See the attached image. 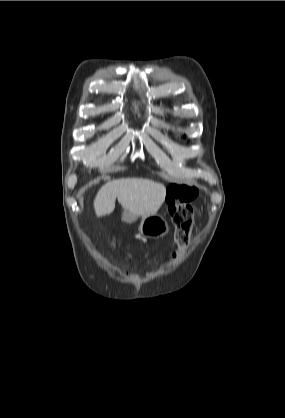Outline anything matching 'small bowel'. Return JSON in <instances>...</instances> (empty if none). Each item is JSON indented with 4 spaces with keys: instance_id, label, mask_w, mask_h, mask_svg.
I'll return each instance as SVG.
<instances>
[{
    "instance_id": "1",
    "label": "small bowel",
    "mask_w": 285,
    "mask_h": 418,
    "mask_svg": "<svg viewBox=\"0 0 285 418\" xmlns=\"http://www.w3.org/2000/svg\"><path fill=\"white\" fill-rule=\"evenodd\" d=\"M150 277H151V275H150V274H147V275H145V276L140 277V279H141V280H144V279H146V278H150Z\"/></svg>"
}]
</instances>
